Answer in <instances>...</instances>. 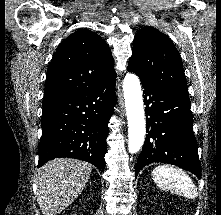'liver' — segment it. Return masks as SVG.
I'll return each mask as SVG.
<instances>
[{"instance_id":"liver-1","label":"liver","mask_w":221,"mask_h":215,"mask_svg":"<svg viewBox=\"0 0 221 215\" xmlns=\"http://www.w3.org/2000/svg\"><path fill=\"white\" fill-rule=\"evenodd\" d=\"M91 170L89 163L68 158H56L42 166L37 177V201L43 215H56L72 204Z\"/></svg>"}]
</instances>
